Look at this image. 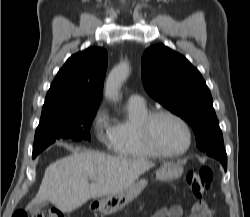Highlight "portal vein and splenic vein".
<instances>
[{
  "instance_id": "obj_1",
  "label": "portal vein and splenic vein",
  "mask_w": 250,
  "mask_h": 217,
  "mask_svg": "<svg viewBox=\"0 0 250 217\" xmlns=\"http://www.w3.org/2000/svg\"><path fill=\"white\" fill-rule=\"evenodd\" d=\"M91 180L96 181V180H97V178H96V177H92V178H91Z\"/></svg>"
}]
</instances>
